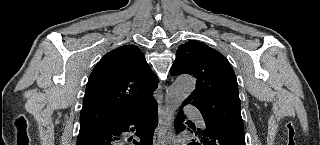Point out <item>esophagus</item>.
Segmentation results:
<instances>
[{
  "instance_id": "obj_1",
  "label": "esophagus",
  "mask_w": 320,
  "mask_h": 145,
  "mask_svg": "<svg viewBox=\"0 0 320 145\" xmlns=\"http://www.w3.org/2000/svg\"><path fill=\"white\" fill-rule=\"evenodd\" d=\"M166 114V108L163 101H161L158 109V126L156 127L153 136V145H165V137L168 128Z\"/></svg>"
}]
</instances>
